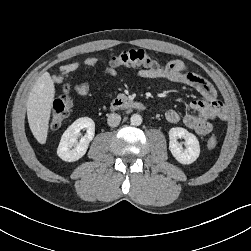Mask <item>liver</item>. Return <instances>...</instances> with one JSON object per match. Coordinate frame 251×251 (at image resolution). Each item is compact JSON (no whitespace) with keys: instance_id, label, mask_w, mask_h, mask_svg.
I'll list each match as a JSON object with an SVG mask.
<instances>
[{"instance_id":"1","label":"liver","mask_w":251,"mask_h":251,"mask_svg":"<svg viewBox=\"0 0 251 251\" xmlns=\"http://www.w3.org/2000/svg\"><path fill=\"white\" fill-rule=\"evenodd\" d=\"M54 96V82L50 74L44 72L35 82L27 101L29 127L40 144H45L47 140Z\"/></svg>"}]
</instances>
